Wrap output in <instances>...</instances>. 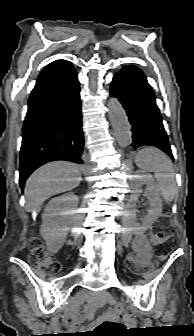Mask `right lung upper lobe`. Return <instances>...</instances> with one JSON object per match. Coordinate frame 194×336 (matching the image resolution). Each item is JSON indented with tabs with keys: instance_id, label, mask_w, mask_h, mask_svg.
<instances>
[{
	"instance_id": "1",
	"label": "right lung upper lobe",
	"mask_w": 194,
	"mask_h": 336,
	"mask_svg": "<svg viewBox=\"0 0 194 336\" xmlns=\"http://www.w3.org/2000/svg\"><path fill=\"white\" fill-rule=\"evenodd\" d=\"M62 62H66V60H57V61H54L51 64H49L47 67L55 65V64H59V63H62Z\"/></svg>"
}]
</instances>
